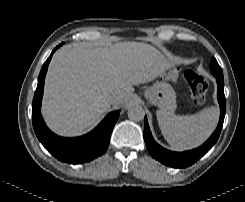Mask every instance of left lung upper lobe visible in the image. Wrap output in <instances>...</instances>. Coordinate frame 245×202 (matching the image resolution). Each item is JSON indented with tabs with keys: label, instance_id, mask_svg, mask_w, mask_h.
<instances>
[{
	"label": "left lung upper lobe",
	"instance_id": "obj_1",
	"mask_svg": "<svg viewBox=\"0 0 245 202\" xmlns=\"http://www.w3.org/2000/svg\"><path fill=\"white\" fill-rule=\"evenodd\" d=\"M210 71L211 73L215 76V77H223V73H222V69L219 66V64L217 63L215 58L211 59L210 65H209Z\"/></svg>",
	"mask_w": 245,
	"mask_h": 202
}]
</instances>
